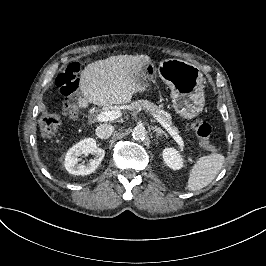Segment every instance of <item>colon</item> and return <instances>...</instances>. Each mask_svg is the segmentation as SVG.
Segmentation results:
<instances>
[{
  "label": "colon",
  "instance_id": "5ec220e1",
  "mask_svg": "<svg viewBox=\"0 0 266 266\" xmlns=\"http://www.w3.org/2000/svg\"><path fill=\"white\" fill-rule=\"evenodd\" d=\"M81 67L80 62L71 61L59 74L56 79L57 87L59 91L66 96L68 101L70 95H76L79 88L78 72ZM75 100H78L76 98ZM67 106V102L63 104V107ZM59 125L56 112L51 111L44 113L39 121L40 132L44 138H51L56 132ZM188 129L193 130L197 133L202 146L207 150H214V146L210 142L212 133V127L209 123L203 120L200 116H194Z\"/></svg>",
  "mask_w": 266,
  "mask_h": 266
}]
</instances>
